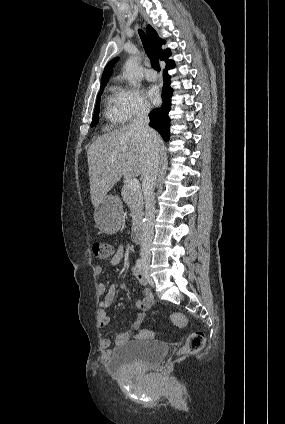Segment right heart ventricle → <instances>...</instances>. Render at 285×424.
I'll return each instance as SVG.
<instances>
[{
    "instance_id": "e07e8e85",
    "label": "right heart ventricle",
    "mask_w": 285,
    "mask_h": 424,
    "mask_svg": "<svg viewBox=\"0 0 285 424\" xmlns=\"http://www.w3.org/2000/svg\"><path fill=\"white\" fill-rule=\"evenodd\" d=\"M119 90L116 86H111L104 99L105 129L115 128L125 122L119 101Z\"/></svg>"
}]
</instances>
